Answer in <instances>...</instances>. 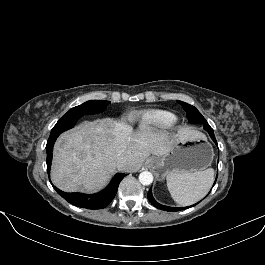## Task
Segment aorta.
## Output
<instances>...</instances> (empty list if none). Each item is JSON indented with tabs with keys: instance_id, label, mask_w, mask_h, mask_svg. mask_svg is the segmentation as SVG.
Returning <instances> with one entry per match:
<instances>
[{
	"instance_id": "762f6f07",
	"label": "aorta",
	"mask_w": 265,
	"mask_h": 265,
	"mask_svg": "<svg viewBox=\"0 0 265 265\" xmlns=\"http://www.w3.org/2000/svg\"><path fill=\"white\" fill-rule=\"evenodd\" d=\"M139 182L142 185H150L153 182V175L149 171H143L139 174Z\"/></svg>"
}]
</instances>
